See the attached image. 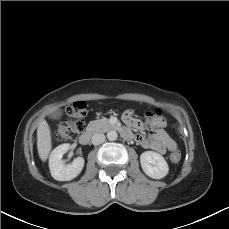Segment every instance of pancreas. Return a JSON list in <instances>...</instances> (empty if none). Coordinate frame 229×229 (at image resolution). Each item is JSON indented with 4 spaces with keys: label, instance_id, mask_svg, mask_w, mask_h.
Wrapping results in <instances>:
<instances>
[{
    "label": "pancreas",
    "instance_id": "pancreas-1",
    "mask_svg": "<svg viewBox=\"0 0 229 229\" xmlns=\"http://www.w3.org/2000/svg\"><path fill=\"white\" fill-rule=\"evenodd\" d=\"M113 128L107 118L91 121L88 125V130L93 132H106Z\"/></svg>",
    "mask_w": 229,
    "mask_h": 229
}]
</instances>
